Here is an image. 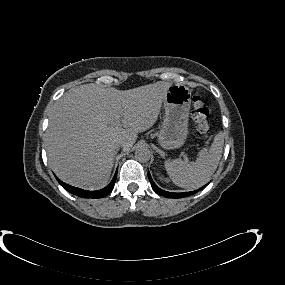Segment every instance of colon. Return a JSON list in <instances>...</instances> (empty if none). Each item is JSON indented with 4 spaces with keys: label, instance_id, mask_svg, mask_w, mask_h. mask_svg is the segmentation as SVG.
I'll list each match as a JSON object with an SVG mask.
<instances>
[{
    "label": "colon",
    "instance_id": "obj_1",
    "mask_svg": "<svg viewBox=\"0 0 285 285\" xmlns=\"http://www.w3.org/2000/svg\"><path fill=\"white\" fill-rule=\"evenodd\" d=\"M192 118L196 123V129L199 135L207 138L210 126L208 122L209 110L200 96H194L192 99Z\"/></svg>",
    "mask_w": 285,
    "mask_h": 285
}]
</instances>
